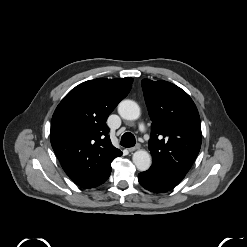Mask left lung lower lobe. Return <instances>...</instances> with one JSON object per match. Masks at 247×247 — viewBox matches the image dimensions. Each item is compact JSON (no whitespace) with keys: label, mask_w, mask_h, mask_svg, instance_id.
Returning <instances> with one entry per match:
<instances>
[{"label":"left lung lower lobe","mask_w":247,"mask_h":247,"mask_svg":"<svg viewBox=\"0 0 247 247\" xmlns=\"http://www.w3.org/2000/svg\"><path fill=\"white\" fill-rule=\"evenodd\" d=\"M138 180L145 189L155 193L167 192L179 184L167 175L151 168L139 173Z\"/></svg>","instance_id":"left-lung-lower-lobe-1"}]
</instances>
